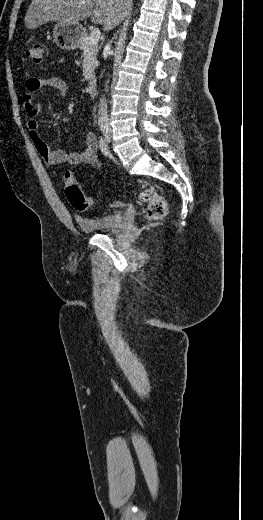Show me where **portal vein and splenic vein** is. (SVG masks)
<instances>
[{
	"label": "portal vein and splenic vein",
	"instance_id": "obj_1",
	"mask_svg": "<svg viewBox=\"0 0 263 520\" xmlns=\"http://www.w3.org/2000/svg\"><path fill=\"white\" fill-rule=\"evenodd\" d=\"M100 34H101V32L99 29H93L91 31V35L89 37V43L91 45H96L100 39Z\"/></svg>",
	"mask_w": 263,
	"mask_h": 520
}]
</instances>
